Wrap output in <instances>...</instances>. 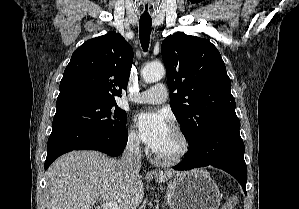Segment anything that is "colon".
Here are the masks:
<instances>
[{
	"instance_id": "colon-1",
	"label": "colon",
	"mask_w": 299,
	"mask_h": 209,
	"mask_svg": "<svg viewBox=\"0 0 299 209\" xmlns=\"http://www.w3.org/2000/svg\"><path fill=\"white\" fill-rule=\"evenodd\" d=\"M235 200L233 198L229 199L222 207V209H235Z\"/></svg>"
}]
</instances>
